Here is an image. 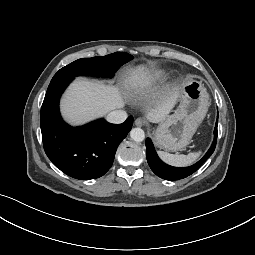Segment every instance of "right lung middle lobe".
I'll list each match as a JSON object with an SVG mask.
<instances>
[{
    "mask_svg": "<svg viewBox=\"0 0 255 255\" xmlns=\"http://www.w3.org/2000/svg\"><path fill=\"white\" fill-rule=\"evenodd\" d=\"M133 56L124 52H115L103 57L82 58L61 68L51 82L76 76L112 77L114 73Z\"/></svg>",
    "mask_w": 255,
    "mask_h": 255,
    "instance_id": "right-lung-middle-lobe-1",
    "label": "right lung middle lobe"
}]
</instances>
